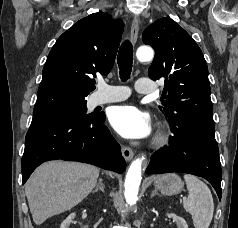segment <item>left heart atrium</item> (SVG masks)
I'll return each instance as SVG.
<instances>
[{
	"label": "left heart atrium",
	"mask_w": 238,
	"mask_h": 228,
	"mask_svg": "<svg viewBox=\"0 0 238 228\" xmlns=\"http://www.w3.org/2000/svg\"><path fill=\"white\" fill-rule=\"evenodd\" d=\"M109 120L112 127L127 139L146 138L152 131L150 116L133 105L114 107Z\"/></svg>",
	"instance_id": "left-heart-atrium-1"
}]
</instances>
